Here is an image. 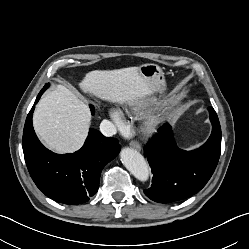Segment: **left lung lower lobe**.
<instances>
[{
    "mask_svg": "<svg viewBox=\"0 0 249 249\" xmlns=\"http://www.w3.org/2000/svg\"><path fill=\"white\" fill-rule=\"evenodd\" d=\"M208 110L212 133L200 149H179L169 124H164L159 135L144 148L153 173L151 188L144 193L151 200L168 203L188 198L212 176L220 157L221 128L215 110L212 107Z\"/></svg>",
    "mask_w": 249,
    "mask_h": 249,
    "instance_id": "obj_1",
    "label": "left lung lower lobe"
}]
</instances>
